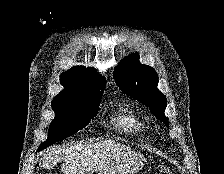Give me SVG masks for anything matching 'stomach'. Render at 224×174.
Wrapping results in <instances>:
<instances>
[{"instance_id": "stomach-1", "label": "stomach", "mask_w": 224, "mask_h": 174, "mask_svg": "<svg viewBox=\"0 0 224 174\" xmlns=\"http://www.w3.org/2000/svg\"><path fill=\"white\" fill-rule=\"evenodd\" d=\"M144 163L143 156L132 151L118 160H114L101 169H94L85 174H135Z\"/></svg>"}]
</instances>
